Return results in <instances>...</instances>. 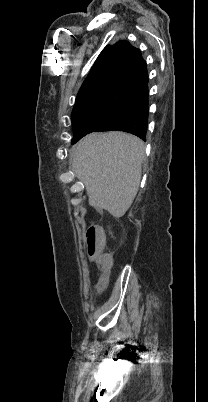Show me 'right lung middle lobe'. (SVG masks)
I'll return each mask as SVG.
<instances>
[{"mask_svg":"<svg viewBox=\"0 0 208 402\" xmlns=\"http://www.w3.org/2000/svg\"><path fill=\"white\" fill-rule=\"evenodd\" d=\"M121 96L117 89L109 84L102 85L76 98L72 111V123L81 122L94 116H116L121 110ZM72 143L85 134L74 131Z\"/></svg>","mask_w":208,"mask_h":402,"instance_id":"dd1d6c3e","label":"right lung middle lobe"}]
</instances>
